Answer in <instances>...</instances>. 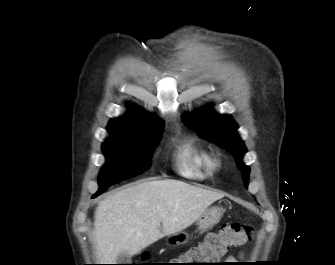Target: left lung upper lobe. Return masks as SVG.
I'll return each mask as SVG.
<instances>
[{
	"instance_id": "5c2ea615",
	"label": "left lung upper lobe",
	"mask_w": 335,
	"mask_h": 265,
	"mask_svg": "<svg viewBox=\"0 0 335 265\" xmlns=\"http://www.w3.org/2000/svg\"><path fill=\"white\" fill-rule=\"evenodd\" d=\"M183 122L197 131L200 136L208 138L235 156L236 165L241 171L244 185L247 187L250 168L241 161L246 153V148L236 132L237 124L231 117L204 109L198 113L186 115Z\"/></svg>"
}]
</instances>
